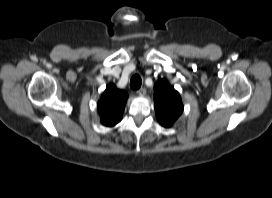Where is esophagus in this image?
I'll list each match as a JSON object with an SVG mask.
<instances>
[{
    "label": "esophagus",
    "instance_id": "obj_1",
    "mask_svg": "<svg viewBox=\"0 0 272 198\" xmlns=\"http://www.w3.org/2000/svg\"><path fill=\"white\" fill-rule=\"evenodd\" d=\"M136 93L139 96H144L146 94V89L145 88H140Z\"/></svg>",
    "mask_w": 272,
    "mask_h": 198
}]
</instances>
